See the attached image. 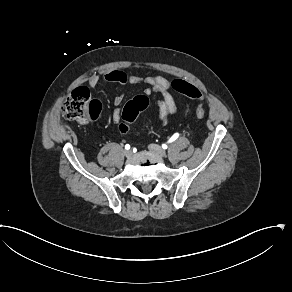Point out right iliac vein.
<instances>
[{"label": "right iliac vein", "instance_id": "right-iliac-vein-1", "mask_svg": "<svg viewBox=\"0 0 292 292\" xmlns=\"http://www.w3.org/2000/svg\"><path fill=\"white\" fill-rule=\"evenodd\" d=\"M124 155H125L127 158H129V157H131V155H132V151H131V150H125V151H124Z\"/></svg>", "mask_w": 292, "mask_h": 292}]
</instances>
